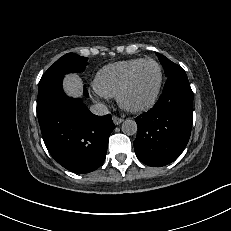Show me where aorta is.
I'll list each match as a JSON object with an SVG mask.
<instances>
[{
	"label": "aorta",
	"instance_id": "1",
	"mask_svg": "<svg viewBox=\"0 0 231 231\" xmlns=\"http://www.w3.org/2000/svg\"><path fill=\"white\" fill-rule=\"evenodd\" d=\"M122 132L126 135H134L137 133V124L134 120L126 119L122 123Z\"/></svg>",
	"mask_w": 231,
	"mask_h": 231
}]
</instances>
